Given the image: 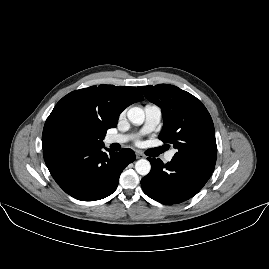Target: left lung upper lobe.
<instances>
[{
    "label": "left lung upper lobe",
    "mask_w": 269,
    "mask_h": 269,
    "mask_svg": "<svg viewBox=\"0 0 269 269\" xmlns=\"http://www.w3.org/2000/svg\"><path fill=\"white\" fill-rule=\"evenodd\" d=\"M138 88L162 109L164 125L159 139L178 150L174 158L213 171L217 156L215 130L202 102L173 85Z\"/></svg>",
    "instance_id": "5c2ea615"
}]
</instances>
